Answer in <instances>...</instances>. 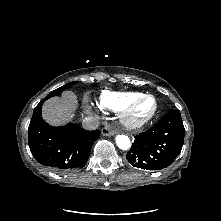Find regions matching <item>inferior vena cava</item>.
<instances>
[{
  "mask_svg": "<svg viewBox=\"0 0 221 221\" xmlns=\"http://www.w3.org/2000/svg\"><path fill=\"white\" fill-rule=\"evenodd\" d=\"M99 120L96 117H86L83 119L82 126L87 130H94L99 127Z\"/></svg>",
  "mask_w": 221,
  "mask_h": 221,
  "instance_id": "obj_1",
  "label": "inferior vena cava"
}]
</instances>
